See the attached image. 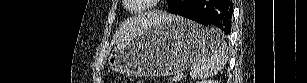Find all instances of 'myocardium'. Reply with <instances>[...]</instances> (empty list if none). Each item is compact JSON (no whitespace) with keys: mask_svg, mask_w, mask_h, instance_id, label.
<instances>
[{"mask_svg":"<svg viewBox=\"0 0 307 83\" xmlns=\"http://www.w3.org/2000/svg\"><path fill=\"white\" fill-rule=\"evenodd\" d=\"M129 1V0H127ZM153 2H157V1H153ZM148 8H140V9H137V10H133L131 9L130 7H127V10L130 12V13H142L144 12L145 10H147Z\"/></svg>","mask_w":307,"mask_h":83,"instance_id":"myocardium-1","label":"myocardium"}]
</instances>
